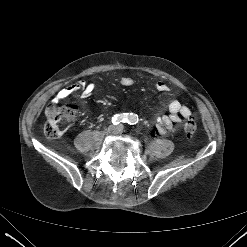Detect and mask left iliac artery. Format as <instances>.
<instances>
[{
    "label": "left iliac artery",
    "instance_id": "left-iliac-artery-1",
    "mask_svg": "<svg viewBox=\"0 0 247 247\" xmlns=\"http://www.w3.org/2000/svg\"><path fill=\"white\" fill-rule=\"evenodd\" d=\"M138 121V119H137ZM129 124H136V117L134 115L130 116L129 120H128Z\"/></svg>",
    "mask_w": 247,
    "mask_h": 247
}]
</instances>
